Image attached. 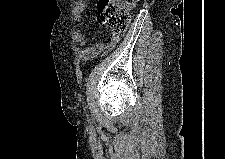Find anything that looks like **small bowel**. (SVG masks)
Returning <instances> with one entry per match:
<instances>
[{
  "mask_svg": "<svg viewBox=\"0 0 225 159\" xmlns=\"http://www.w3.org/2000/svg\"><path fill=\"white\" fill-rule=\"evenodd\" d=\"M86 10L84 1H77L73 7V22L77 23ZM72 38L79 46L86 44V38L78 28L72 30ZM119 41V37L110 36L107 43H96L87 48H78L77 56L81 62L93 60L102 53L111 51Z\"/></svg>",
  "mask_w": 225,
  "mask_h": 159,
  "instance_id": "c3829d8e",
  "label": "small bowel"
}]
</instances>
